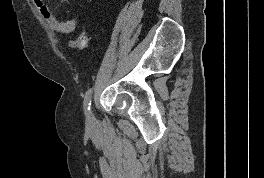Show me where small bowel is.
Wrapping results in <instances>:
<instances>
[{
  "mask_svg": "<svg viewBox=\"0 0 264 178\" xmlns=\"http://www.w3.org/2000/svg\"><path fill=\"white\" fill-rule=\"evenodd\" d=\"M33 2L47 25L53 31L61 35H68L75 30L78 23V16L76 14L68 20H61L51 11L45 0H33Z\"/></svg>",
  "mask_w": 264,
  "mask_h": 178,
  "instance_id": "c3829d8e",
  "label": "small bowel"
}]
</instances>
